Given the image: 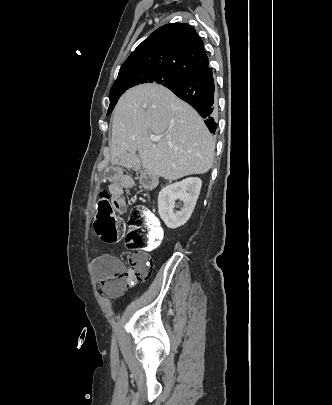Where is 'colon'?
<instances>
[{
    "label": "colon",
    "mask_w": 332,
    "mask_h": 405,
    "mask_svg": "<svg viewBox=\"0 0 332 405\" xmlns=\"http://www.w3.org/2000/svg\"><path fill=\"white\" fill-rule=\"evenodd\" d=\"M145 187H153L154 179L150 172H143L140 177ZM112 192L100 193L94 220V229L102 241L115 243L126 230L125 223L114 213L109 204ZM131 237L128 240L129 270L119 271L102 281L101 291L107 296L121 294L134 279L146 280L152 269L155 245L163 238V230L156 215L143 206L132 209L128 221ZM146 241V242H145ZM144 244V246H143Z\"/></svg>",
    "instance_id": "obj_1"
}]
</instances>
